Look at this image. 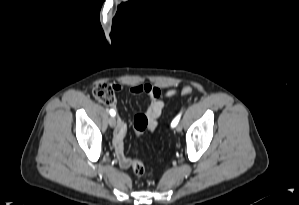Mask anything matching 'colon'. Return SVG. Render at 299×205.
<instances>
[{"label":"colon","instance_id":"obj_1","mask_svg":"<svg viewBox=\"0 0 299 205\" xmlns=\"http://www.w3.org/2000/svg\"><path fill=\"white\" fill-rule=\"evenodd\" d=\"M193 89L191 87H184L181 90L182 95H191ZM94 97L101 103L107 106H113L115 104V87L107 82L97 83L93 88ZM148 126V119L144 114H138L134 117L133 128L135 134L140 136ZM132 172L137 178L144 177L146 173L145 166L139 160H133L131 164Z\"/></svg>","mask_w":299,"mask_h":205}]
</instances>
